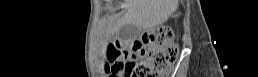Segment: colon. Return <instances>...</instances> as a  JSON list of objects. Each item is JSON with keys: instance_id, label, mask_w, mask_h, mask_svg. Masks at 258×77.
<instances>
[{"instance_id": "1", "label": "colon", "mask_w": 258, "mask_h": 77, "mask_svg": "<svg viewBox=\"0 0 258 77\" xmlns=\"http://www.w3.org/2000/svg\"><path fill=\"white\" fill-rule=\"evenodd\" d=\"M178 56V47L168 27L146 32L137 45L109 49L107 71L121 77H163Z\"/></svg>"}]
</instances>
